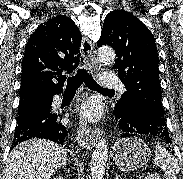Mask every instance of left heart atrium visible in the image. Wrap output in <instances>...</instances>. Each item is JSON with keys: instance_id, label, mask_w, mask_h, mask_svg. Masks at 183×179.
<instances>
[{"instance_id": "39dd6f15", "label": "left heart atrium", "mask_w": 183, "mask_h": 179, "mask_svg": "<svg viewBox=\"0 0 183 179\" xmlns=\"http://www.w3.org/2000/svg\"><path fill=\"white\" fill-rule=\"evenodd\" d=\"M100 106L96 101H87L80 109V115L83 119L94 121L100 117Z\"/></svg>"}]
</instances>
